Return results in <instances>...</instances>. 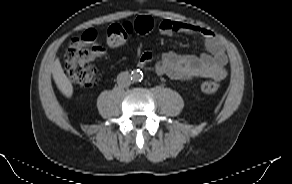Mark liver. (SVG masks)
<instances>
[{"label": "liver", "instance_id": "obj_1", "mask_svg": "<svg viewBox=\"0 0 292 184\" xmlns=\"http://www.w3.org/2000/svg\"><path fill=\"white\" fill-rule=\"evenodd\" d=\"M52 75L58 89L62 92L63 95L70 98L73 94V86L65 75L59 59H56L54 62Z\"/></svg>", "mask_w": 292, "mask_h": 184}]
</instances>
